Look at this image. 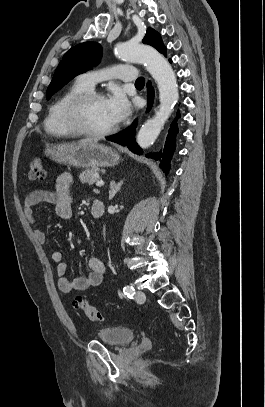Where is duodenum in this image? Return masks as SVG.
Wrapping results in <instances>:
<instances>
[{
    "mask_svg": "<svg viewBox=\"0 0 265 407\" xmlns=\"http://www.w3.org/2000/svg\"><path fill=\"white\" fill-rule=\"evenodd\" d=\"M91 212L95 218H100L105 213V205L101 200H94L91 205Z\"/></svg>",
    "mask_w": 265,
    "mask_h": 407,
    "instance_id": "1",
    "label": "duodenum"
}]
</instances>
